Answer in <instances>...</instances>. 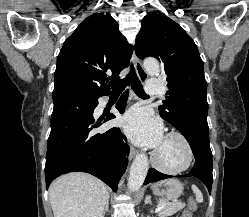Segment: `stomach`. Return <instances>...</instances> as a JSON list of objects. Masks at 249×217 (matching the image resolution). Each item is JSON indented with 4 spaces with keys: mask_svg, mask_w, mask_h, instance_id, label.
Wrapping results in <instances>:
<instances>
[{
    "mask_svg": "<svg viewBox=\"0 0 249 217\" xmlns=\"http://www.w3.org/2000/svg\"><path fill=\"white\" fill-rule=\"evenodd\" d=\"M152 192L155 196L163 197L166 200H175L183 193V185L179 180L169 178L153 184Z\"/></svg>",
    "mask_w": 249,
    "mask_h": 217,
    "instance_id": "0dacf381",
    "label": "stomach"
}]
</instances>
